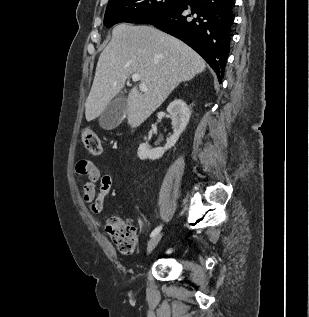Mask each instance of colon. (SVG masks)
Masks as SVG:
<instances>
[{
    "label": "colon",
    "mask_w": 309,
    "mask_h": 317,
    "mask_svg": "<svg viewBox=\"0 0 309 317\" xmlns=\"http://www.w3.org/2000/svg\"><path fill=\"white\" fill-rule=\"evenodd\" d=\"M84 148L91 154L97 155L101 152V142L97 134L84 128L81 132ZM106 231L115 246L124 254H131L136 246V231L129 221L112 217L106 224Z\"/></svg>",
    "instance_id": "colon-1"
}]
</instances>
